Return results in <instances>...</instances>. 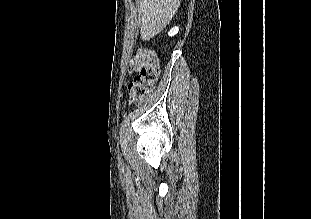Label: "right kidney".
I'll use <instances>...</instances> for the list:
<instances>
[{
  "label": "right kidney",
  "mask_w": 311,
  "mask_h": 219,
  "mask_svg": "<svg viewBox=\"0 0 311 219\" xmlns=\"http://www.w3.org/2000/svg\"><path fill=\"white\" fill-rule=\"evenodd\" d=\"M178 30H179L178 27H174V28H172V29L169 31L168 35H169L170 37H173L174 35H176V34L178 33Z\"/></svg>",
  "instance_id": "right-kidney-1"
}]
</instances>
